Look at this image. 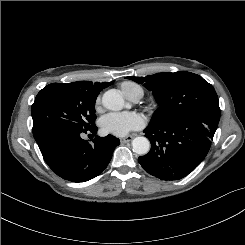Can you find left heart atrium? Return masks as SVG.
<instances>
[{"instance_id":"1","label":"left heart atrium","mask_w":245,"mask_h":245,"mask_svg":"<svg viewBox=\"0 0 245 245\" xmlns=\"http://www.w3.org/2000/svg\"><path fill=\"white\" fill-rule=\"evenodd\" d=\"M143 124V117L135 112H112L100 120V127L104 133L119 137L141 128Z\"/></svg>"}]
</instances>
